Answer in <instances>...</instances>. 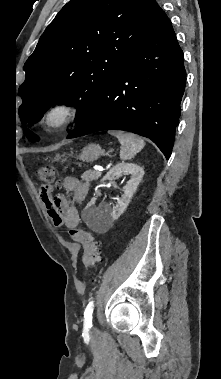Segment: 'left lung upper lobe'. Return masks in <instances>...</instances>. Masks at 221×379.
<instances>
[{"instance_id": "left-lung-upper-lobe-1", "label": "left lung upper lobe", "mask_w": 221, "mask_h": 379, "mask_svg": "<svg viewBox=\"0 0 221 379\" xmlns=\"http://www.w3.org/2000/svg\"><path fill=\"white\" fill-rule=\"evenodd\" d=\"M155 0H71L48 25L24 65L20 119L40 120L55 104L75 106L78 125L97 94L153 31ZM31 142L38 136L25 130Z\"/></svg>"}]
</instances>
